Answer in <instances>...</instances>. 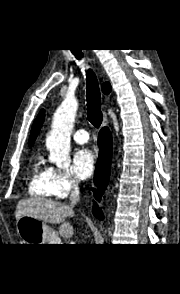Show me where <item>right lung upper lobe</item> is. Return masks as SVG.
<instances>
[{
    "label": "right lung upper lobe",
    "mask_w": 180,
    "mask_h": 294,
    "mask_svg": "<svg viewBox=\"0 0 180 294\" xmlns=\"http://www.w3.org/2000/svg\"><path fill=\"white\" fill-rule=\"evenodd\" d=\"M102 91L104 94L110 93L111 85L108 82L102 84ZM44 116H45L44 110H41V112L39 113V115L37 116V118L33 124L32 130H31L30 138L28 141L29 147H31L33 145V143L36 139V136L38 135V133L41 129V126L44 121Z\"/></svg>",
    "instance_id": "1"
}]
</instances>
